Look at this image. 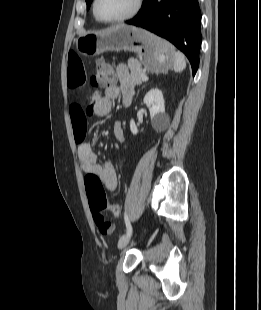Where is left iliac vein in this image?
Instances as JSON below:
<instances>
[{"label":"left iliac vein","instance_id":"obj_1","mask_svg":"<svg viewBox=\"0 0 261 310\" xmlns=\"http://www.w3.org/2000/svg\"><path fill=\"white\" fill-rule=\"evenodd\" d=\"M131 237H132V231L130 234L126 233L125 235H123L118 242V248L123 249L124 247H126L129 241L131 240Z\"/></svg>","mask_w":261,"mask_h":310}]
</instances>
